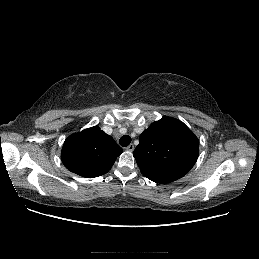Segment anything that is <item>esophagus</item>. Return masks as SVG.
<instances>
[{
	"label": "esophagus",
	"mask_w": 259,
	"mask_h": 259,
	"mask_svg": "<svg viewBox=\"0 0 259 259\" xmlns=\"http://www.w3.org/2000/svg\"><path fill=\"white\" fill-rule=\"evenodd\" d=\"M126 150L132 152L134 150V145L130 144L129 146L126 147Z\"/></svg>",
	"instance_id": "1"
}]
</instances>
